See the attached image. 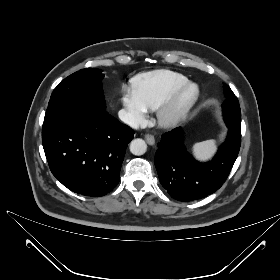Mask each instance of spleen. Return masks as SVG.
Wrapping results in <instances>:
<instances>
[{"label":"spleen","instance_id":"1","mask_svg":"<svg viewBox=\"0 0 280 280\" xmlns=\"http://www.w3.org/2000/svg\"><path fill=\"white\" fill-rule=\"evenodd\" d=\"M216 151V141L207 140L200 143H196L192 147V153L194 157L199 161H207L210 159Z\"/></svg>","mask_w":280,"mask_h":280}]
</instances>
